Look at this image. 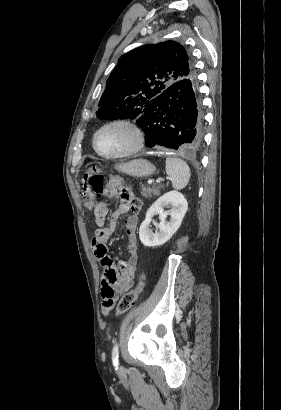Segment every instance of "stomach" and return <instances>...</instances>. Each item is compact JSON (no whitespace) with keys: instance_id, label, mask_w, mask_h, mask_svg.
Returning <instances> with one entry per match:
<instances>
[{"instance_id":"1","label":"stomach","mask_w":281,"mask_h":410,"mask_svg":"<svg viewBox=\"0 0 281 410\" xmlns=\"http://www.w3.org/2000/svg\"><path fill=\"white\" fill-rule=\"evenodd\" d=\"M115 168L133 177H147L152 175L156 170L155 166L145 159H134L116 165Z\"/></svg>"}]
</instances>
